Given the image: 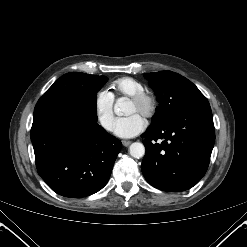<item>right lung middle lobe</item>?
Listing matches in <instances>:
<instances>
[{
  "label": "right lung middle lobe",
  "instance_id": "right-lung-middle-lobe-1",
  "mask_svg": "<svg viewBox=\"0 0 247 247\" xmlns=\"http://www.w3.org/2000/svg\"><path fill=\"white\" fill-rule=\"evenodd\" d=\"M107 81L105 76L72 72L61 76L44 95L62 94L77 97L96 98V93Z\"/></svg>",
  "mask_w": 247,
  "mask_h": 247
}]
</instances>
